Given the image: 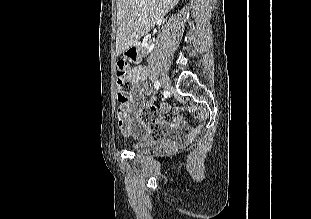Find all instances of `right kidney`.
Here are the masks:
<instances>
[{"label":"right kidney","instance_id":"right-kidney-1","mask_svg":"<svg viewBox=\"0 0 311 219\" xmlns=\"http://www.w3.org/2000/svg\"><path fill=\"white\" fill-rule=\"evenodd\" d=\"M142 48L143 51L146 53H150L153 50L154 44L152 43L151 35H147L144 37L142 41Z\"/></svg>","mask_w":311,"mask_h":219}]
</instances>
